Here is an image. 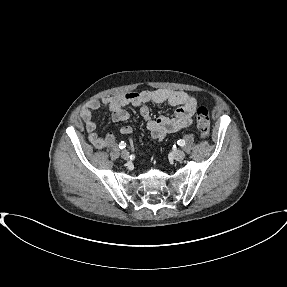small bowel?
<instances>
[{
  "label": "small bowel",
  "mask_w": 287,
  "mask_h": 287,
  "mask_svg": "<svg viewBox=\"0 0 287 287\" xmlns=\"http://www.w3.org/2000/svg\"><path fill=\"white\" fill-rule=\"evenodd\" d=\"M149 102L156 104L168 103L177 108L172 117L158 116L153 118L146 106ZM196 105V99L184 91L171 89L144 90L92 100L82 108L80 116L89 134L88 139L90 143L95 148L101 149L111 145L115 137L112 132L104 136L97 132V125L93 118V111L95 110L108 109L111 112L112 120L121 122L127 120L130 116L126 110L128 106L138 107L152 137L162 140L167 134L178 132L192 123ZM120 132L124 135H130L132 128L123 126Z\"/></svg>",
  "instance_id": "small-bowel-1"
}]
</instances>
